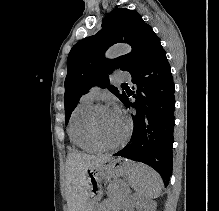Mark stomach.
Here are the masks:
<instances>
[{
  "mask_svg": "<svg viewBox=\"0 0 219 211\" xmlns=\"http://www.w3.org/2000/svg\"><path fill=\"white\" fill-rule=\"evenodd\" d=\"M135 163L123 159L112 158L110 161L86 170V183L88 187V205L85 211H96L97 201L100 197L101 180L111 181L133 172Z\"/></svg>",
  "mask_w": 219,
  "mask_h": 211,
  "instance_id": "0dacf381",
  "label": "stomach"
}]
</instances>
